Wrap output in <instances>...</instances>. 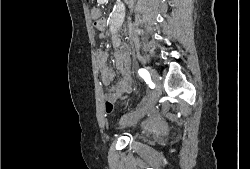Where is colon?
I'll use <instances>...</instances> for the list:
<instances>
[{"label":"colon","mask_w":250,"mask_h":169,"mask_svg":"<svg viewBox=\"0 0 250 169\" xmlns=\"http://www.w3.org/2000/svg\"><path fill=\"white\" fill-rule=\"evenodd\" d=\"M95 28L101 32V23L99 21L95 22ZM106 108H113L114 104H113V99H108V103L105 104ZM106 114H113L114 110L113 109H106L105 110Z\"/></svg>","instance_id":"obj_1"}]
</instances>
